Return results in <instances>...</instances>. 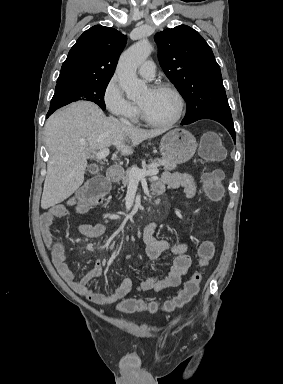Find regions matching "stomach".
Wrapping results in <instances>:
<instances>
[{
    "label": "stomach",
    "instance_id": "0dacf381",
    "mask_svg": "<svg viewBox=\"0 0 283 384\" xmlns=\"http://www.w3.org/2000/svg\"><path fill=\"white\" fill-rule=\"evenodd\" d=\"M159 148L163 160L172 164H184L193 158L197 142L187 130H170L163 136Z\"/></svg>",
    "mask_w": 283,
    "mask_h": 384
}]
</instances>
